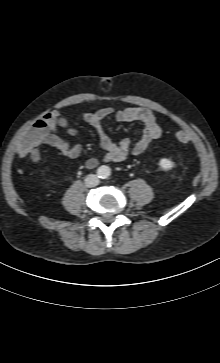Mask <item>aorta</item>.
I'll return each mask as SVG.
<instances>
[{
	"mask_svg": "<svg viewBox=\"0 0 220 363\" xmlns=\"http://www.w3.org/2000/svg\"><path fill=\"white\" fill-rule=\"evenodd\" d=\"M98 173L102 178H106L110 175L111 171L108 166L103 165L99 168Z\"/></svg>",
	"mask_w": 220,
	"mask_h": 363,
	"instance_id": "762f6f07",
	"label": "aorta"
}]
</instances>
